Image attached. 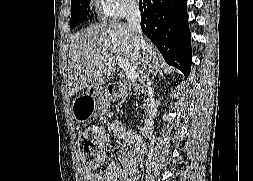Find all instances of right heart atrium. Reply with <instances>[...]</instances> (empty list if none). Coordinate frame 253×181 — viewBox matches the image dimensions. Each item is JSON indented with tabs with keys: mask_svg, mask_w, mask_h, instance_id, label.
<instances>
[{
	"mask_svg": "<svg viewBox=\"0 0 253 181\" xmlns=\"http://www.w3.org/2000/svg\"><path fill=\"white\" fill-rule=\"evenodd\" d=\"M107 15L113 19H120L137 10L136 0H102Z\"/></svg>",
	"mask_w": 253,
	"mask_h": 181,
	"instance_id": "right-heart-atrium-1",
	"label": "right heart atrium"
}]
</instances>
